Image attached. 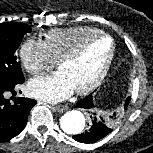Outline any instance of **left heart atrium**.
<instances>
[{
    "label": "left heart atrium",
    "instance_id": "39dd6f15",
    "mask_svg": "<svg viewBox=\"0 0 153 153\" xmlns=\"http://www.w3.org/2000/svg\"><path fill=\"white\" fill-rule=\"evenodd\" d=\"M74 90L71 81L61 70L34 78L28 84L31 96L52 103L65 100Z\"/></svg>",
    "mask_w": 153,
    "mask_h": 153
}]
</instances>
